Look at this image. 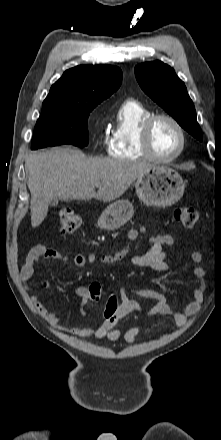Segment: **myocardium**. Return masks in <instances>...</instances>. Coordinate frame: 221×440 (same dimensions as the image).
I'll use <instances>...</instances> for the list:
<instances>
[{
  "mask_svg": "<svg viewBox=\"0 0 221 440\" xmlns=\"http://www.w3.org/2000/svg\"><path fill=\"white\" fill-rule=\"evenodd\" d=\"M161 119L171 122L177 128L180 135V146L178 150L169 157L158 156L152 147V131L156 122ZM140 140L142 149L147 158L159 163H169L177 159L185 150L187 143L186 133L182 124L175 117L166 113L151 114L142 122L140 128Z\"/></svg>",
  "mask_w": 221,
  "mask_h": 440,
  "instance_id": "myocardium-1",
  "label": "myocardium"
}]
</instances>
